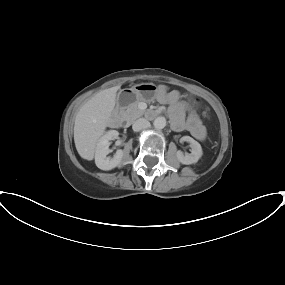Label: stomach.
<instances>
[{"instance_id":"stomach-1","label":"stomach","mask_w":285,"mask_h":285,"mask_svg":"<svg viewBox=\"0 0 285 285\" xmlns=\"http://www.w3.org/2000/svg\"><path fill=\"white\" fill-rule=\"evenodd\" d=\"M158 89L152 83H142L131 88L133 100L136 101H151L155 98Z\"/></svg>"}]
</instances>
